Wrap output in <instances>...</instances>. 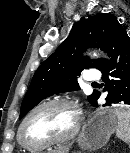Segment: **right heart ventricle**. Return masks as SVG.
Here are the masks:
<instances>
[{
    "label": "right heart ventricle",
    "instance_id": "right-heart-ventricle-1",
    "mask_svg": "<svg viewBox=\"0 0 130 153\" xmlns=\"http://www.w3.org/2000/svg\"><path fill=\"white\" fill-rule=\"evenodd\" d=\"M18 140H19V139H18ZM19 143H20V141H19ZM20 144H21V143H20ZM21 146L24 147L22 144H21ZM24 148H26V147H24ZM26 149L32 150V151L41 150V149H29V148H26Z\"/></svg>",
    "mask_w": 130,
    "mask_h": 153
}]
</instances>
